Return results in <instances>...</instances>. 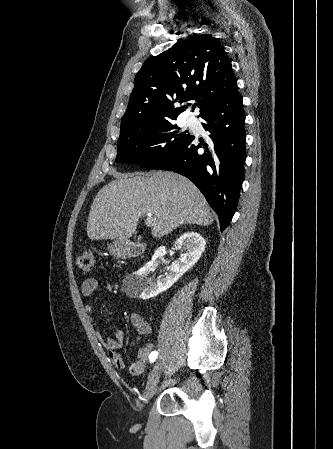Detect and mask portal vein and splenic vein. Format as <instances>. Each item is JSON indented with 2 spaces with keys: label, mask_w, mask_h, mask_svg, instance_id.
Segmentation results:
<instances>
[{
  "label": "portal vein and splenic vein",
  "mask_w": 333,
  "mask_h": 449,
  "mask_svg": "<svg viewBox=\"0 0 333 449\" xmlns=\"http://www.w3.org/2000/svg\"><path fill=\"white\" fill-rule=\"evenodd\" d=\"M151 214H147V218L145 220L146 225L150 226L152 221H151Z\"/></svg>",
  "instance_id": "18ae733b"
}]
</instances>
